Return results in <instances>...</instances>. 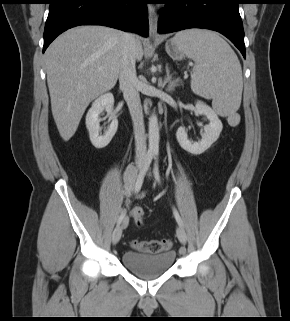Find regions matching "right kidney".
<instances>
[{"instance_id": "obj_1", "label": "right kidney", "mask_w": 290, "mask_h": 321, "mask_svg": "<svg viewBox=\"0 0 290 321\" xmlns=\"http://www.w3.org/2000/svg\"><path fill=\"white\" fill-rule=\"evenodd\" d=\"M113 105V95L111 93H105L94 100L86 115V127L89 132L90 141L95 148L100 149L106 147L117 131L118 120L113 112ZM104 110L109 115L111 124L108 130L101 135L99 115Z\"/></svg>"}]
</instances>
